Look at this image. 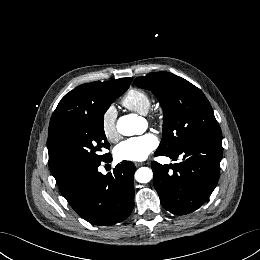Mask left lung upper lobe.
Returning a JSON list of instances; mask_svg holds the SVG:
<instances>
[{
    "label": "left lung upper lobe",
    "mask_w": 260,
    "mask_h": 260,
    "mask_svg": "<svg viewBox=\"0 0 260 260\" xmlns=\"http://www.w3.org/2000/svg\"><path fill=\"white\" fill-rule=\"evenodd\" d=\"M134 84L151 90L164 111L158 151L171 152L194 142L222 140L209 101L187 80L169 72H156L136 78Z\"/></svg>",
    "instance_id": "left-lung-upper-lobe-1"
}]
</instances>
